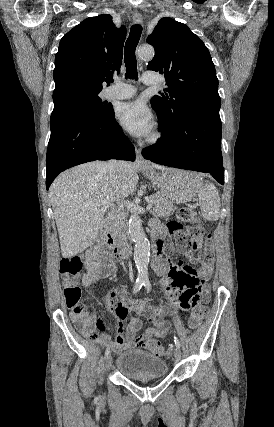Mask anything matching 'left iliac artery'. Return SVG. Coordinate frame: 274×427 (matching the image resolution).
<instances>
[{"mask_svg": "<svg viewBox=\"0 0 274 427\" xmlns=\"http://www.w3.org/2000/svg\"><path fill=\"white\" fill-rule=\"evenodd\" d=\"M144 286L147 289V291H151V283L149 280L144 281ZM174 342H175L176 347L180 348V341L176 336H174Z\"/></svg>", "mask_w": 274, "mask_h": 427, "instance_id": "left-iliac-artery-1", "label": "left iliac artery"}]
</instances>
